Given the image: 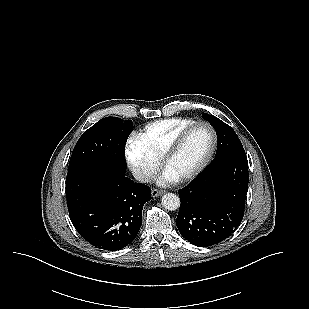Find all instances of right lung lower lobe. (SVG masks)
Returning a JSON list of instances; mask_svg holds the SVG:
<instances>
[{
    "label": "right lung lower lobe",
    "mask_w": 309,
    "mask_h": 309,
    "mask_svg": "<svg viewBox=\"0 0 309 309\" xmlns=\"http://www.w3.org/2000/svg\"><path fill=\"white\" fill-rule=\"evenodd\" d=\"M67 206L78 233L90 244L116 251L129 245L142 223V209L151 189L125 173L97 165L68 171Z\"/></svg>",
    "instance_id": "right-lung-lower-lobe-1"
}]
</instances>
